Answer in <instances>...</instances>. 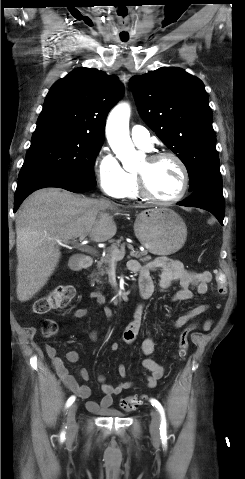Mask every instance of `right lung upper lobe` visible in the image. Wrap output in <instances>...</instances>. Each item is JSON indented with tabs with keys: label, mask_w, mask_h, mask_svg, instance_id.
I'll list each match as a JSON object with an SVG mask.
<instances>
[{
	"label": "right lung upper lobe",
	"mask_w": 245,
	"mask_h": 479,
	"mask_svg": "<svg viewBox=\"0 0 245 479\" xmlns=\"http://www.w3.org/2000/svg\"><path fill=\"white\" fill-rule=\"evenodd\" d=\"M122 94L117 77L97 69L77 68L52 86L36 129H67L103 142L106 117Z\"/></svg>",
	"instance_id": "right-lung-upper-lobe-1"
}]
</instances>
